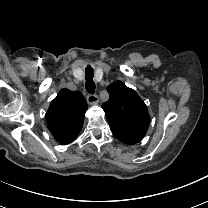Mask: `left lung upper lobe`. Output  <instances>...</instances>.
Wrapping results in <instances>:
<instances>
[{"instance_id":"obj_1","label":"left lung upper lobe","mask_w":208,"mask_h":208,"mask_svg":"<svg viewBox=\"0 0 208 208\" xmlns=\"http://www.w3.org/2000/svg\"><path fill=\"white\" fill-rule=\"evenodd\" d=\"M107 91L110 97L102 108L111 129L145 134L150 116L138 94L121 81L110 84Z\"/></svg>"}]
</instances>
